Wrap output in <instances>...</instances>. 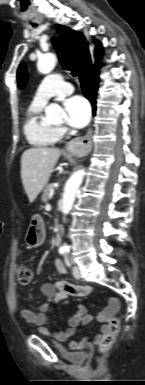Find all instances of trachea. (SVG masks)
Segmentation results:
<instances>
[{"instance_id":"obj_1","label":"trachea","mask_w":145,"mask_h":385,"mask_svg":"<svg viewBox=\"0 0 145 385\" xmlns=\"http://www.w3.org/2000/svg\"><path fill=\"white\" fill-rule=\"evenodd\" d=\"M52 44L57 52L59 62L61 66L65 69L71 72L73 76H76V73L73 69V66L69 60V57L66 53V50L62 44L61 39L58 36H54L52 38Z\"/></svg>"}]
</instances>
